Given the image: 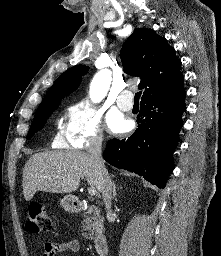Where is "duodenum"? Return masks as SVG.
I'll return each instance as SVG.
<instances>
[{"instance_id":"410a0bca","label":"duodenum","mask_w":221,"mask_h":256,"mask_svg":"<svg viewBox=\"0 0 221 256\" xmlns=\"http://www.w3.org/2000/svg\"><path fill=\"white\" fill-rule=\"evenodd\" d=\"M86 207V203L79 199L71 201V208L75 212H81ZM94 248L99 256H106L108 252V241L104 233H98L94 237Z\"/></svg>"}]
</instances>
